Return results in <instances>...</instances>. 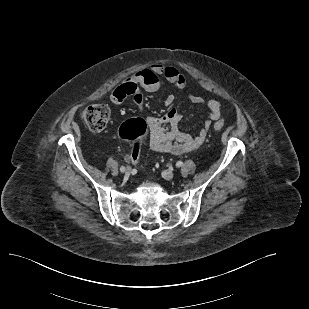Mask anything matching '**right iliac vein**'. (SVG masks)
Here are the masks:
<instances>
[{
	"mask_svg": "<svg viewBox=\"0 0 309 309\" xmlns=\"http://www.w3.org/2000/svg\"><path fill=\"white\" fill-rule=\"evenodd\" d=\"M130 173H131V168L128 167V168L125 170V176H126V177H129Z\"/></svg>",
	"mask_w": 309,
	"mask_h": 309,
	"instance_id": "right-iliac-vein-1",
	"label": "right iliac vein"
}]
</instances>
